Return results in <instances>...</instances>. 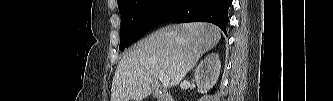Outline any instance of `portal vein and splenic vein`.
I'll list each match as a JSON object with an SVG mask.
<instances>
[{
	"label": "portal vein and splenic vein",
	"mask_w": 333,
	"mask_h": 101,
	"mask_svg": "<svg viewBox=\"0 0 333 101\" xmlns=\"http://www.w3.org/2000/svg\"><path fill=\"white\" fill-rule=\"evenodd\" d=\"M158 79L163 85H169L170 83V78L166 75H159Z\"/></svg>",
	"instance_id": "18ae733b"
}]
</instances>
